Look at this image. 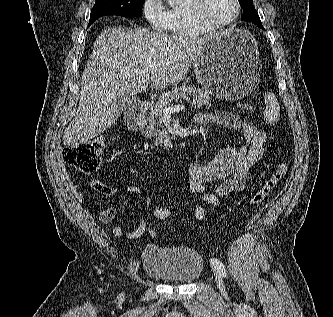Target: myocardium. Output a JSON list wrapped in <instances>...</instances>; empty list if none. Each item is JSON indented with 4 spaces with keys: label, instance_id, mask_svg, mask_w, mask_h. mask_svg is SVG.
<instances>
[{
    "label": "myocardium",
    "instance_id": "myocardium-1",
    "mask_svg": "<svg viewBox=\"0 0 333 317\" xmlns=\"http://www.w3.org/2000/svg\"><path fill=\"white\" fill-rule=\"evenodd\" d=\"M186 9L192 23L203 32H213L222 30L233 25L240 16L241 3L240 0H233L235 4V12L233 16L219 24L210 23L204 17V0H187Z\"/></svg>",
    "mask_w": 333,
    "mask_h": 317
}]
</instances>
